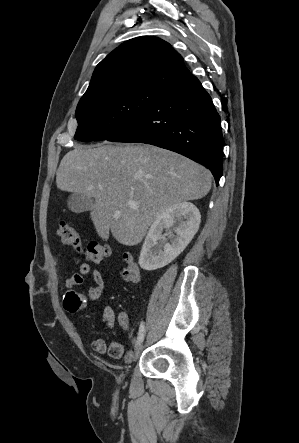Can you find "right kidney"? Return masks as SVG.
<instances>
[{"instance_id": "right-kidney-1", "label": "right kidney", "mask_w": 299, "mask_h": 443, "mask_svg": "<svg viewBox=\"0 0 299 443\" xmlns=\"http://www.w3.org/2000/svg\"><path fill=\"white\" fill-rule=\"evenodd\" d=\"M200 221L199 210L190 202L175 204L164 210L154 220L144 240L139 257L141 268L152 271L172 262L197 233ZM163 229L168 231L170 243L162 237ZM161 239L163 241L158 243Z\"/></svg>"}]
</instances>
